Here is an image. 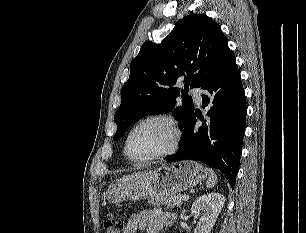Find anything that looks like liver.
<instances>
[{
    "label": "liver",
    "mask_w": 306,
    "mask_h": 233,
    "mask_svg": "<svg viewBox=\"0 0 306 233\" xmlns=\"http://www.w3.org/2000/svg\"><path fill=\"white\" fill-rule=\"evenodd\" d=\"M134 175H131V176H126V177H123V179L125 178H130V177H133ZM123 179H120V180H123Z\"/></svg>",
    "instance_id": "liver-1"
}]
</instances>
